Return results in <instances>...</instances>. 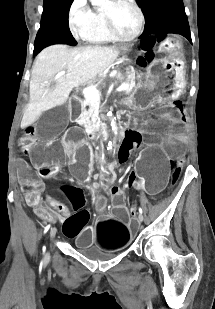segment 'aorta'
<instances>
[{"label": "aorta", "instance_id": "obj_1", "mask_svg": "<svg viewBox=\"0 0 215 309\" xmlns=\"http://www.w3.org/2000/svg\"><path fill=\"white\" fill-rule=\"evenodd\" d=\"M91 4H93V6H98V8H106V6H110L111 4V0H90ZM107 116H109L110 120H111V126H112V130L114 132V134H117V130H118V126L116 124V120H114V118H112V112L111 110H109V112H107ZM110 146H113V144H109V148Z\"/></svg>", "mask_w": 215, "mask_h": 309}]
</instances>
